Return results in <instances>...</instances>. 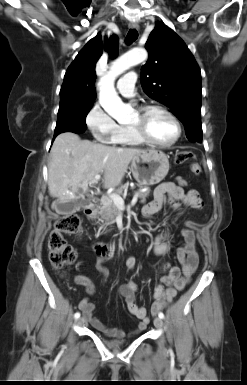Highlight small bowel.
I'll use <instances>...</instances> for the list:
<instances>
[{
  "label": "small bowel",
  "instance_id": "small-bowel-1",
  "mask_svg": "<svg viewBox=\"0 0 247 385\" xmlns=\"http://www.w3.org/2000/svg\"><path fill=\"white\" fill-rule=\"evenodd\" d=\"M186 181L182 178H177L175 182H165L160 184L155 190L154 200L143 209V213L147 216L153 215L164 206H170L176 210L181 209L182 206L201 209L203 207V200L200 194L195 189L188 191L183 190ZM195 222L187 221L186 227L182 230L184 244L179 246L176 250V257L181 268L170 267L166 275L160 278V282L155 286L153 291L154 302L151 307L153 314L161 311L165 305L172 300L178 291H182L190 282L194 275L198 264L199 254L196 246V237L194 232ZM167 233L162 232L156 236L153 243V251L158 255L166 254L171 246L165 240ZM109 258V253L98 255L96 262V269L102 275L103 282L107 280L108 270L104 267V262ZM136 259L129 257L125 261V266L129 270L136 267ZM76 281L85 286L89 294H93L94 285L85 276H78ZM135 285L133 283H124L119 288L120 295L124 298L128 312L139 320V323L133 332L138 334L146 329L149 324L148 311L145 306H138L135 302ZM79 308L83 313L84 321L86 320L93 328L101 331L108 337L122 338L125 332L117 327H107L94 315L95 305L88 298L83 299Z\"/></svg>",
  "mask_w": 247,
  "mask_h": 385
}]
</instances>
